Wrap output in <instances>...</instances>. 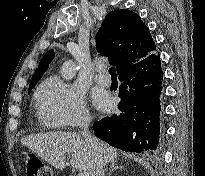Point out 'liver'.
<instances>
[{"label": "liver", "instance_id": "liver-1", "mask_svg": "<svg viewBox=\"0 0 205 176\" xmlns=\"http://www.w3.org/2000/svg\"><path fill=\"white\" fill-rule=\"evenodd\" d=\"M104 163L115 162L117 150L96 140ZM21 144L35 152L41 159L57 169L65 168V155L72 153L70 164L73 168L94 176L96 171L95 155L81 135L72 132H48L28 135Z\"/></svg>", "mask_w": 205, "mask_h": 176}]
</instances>
